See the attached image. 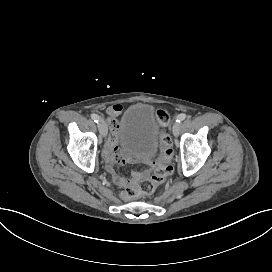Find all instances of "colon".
I'll use <instances>...</instances> for the list:
<instances>
[{
    "label": "colon",
    "instance_id": "obj_1",
    "mask_svg": "<svg viewBox=\"0 0 272 272\" xmlns=\"http://www.w3.org/2000/svg\"><path fill=\"white\" fill-rule=\"evenodd\" d=\"M170 113L166 110H158L156 114V121L159 125H165L169 120ZM169 135L163 134L161 140H169ZM164 152L171 153L172 149L164 148ZM124 163L120 158L112 163L113 166H121ZM173 165L171 163H164L161 168L152 171L150 173H141L136 175L132 179H123L116 177V182L124 183L125 194L131 197L151 196L155 192V188L158 184L164 182L167 177L173 172Z\"/></svg>",
    "mask_w": 272,
    "mask_h": 272
}]
</instances>
